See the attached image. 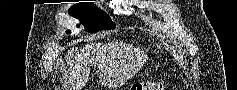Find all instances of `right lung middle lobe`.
Here are the masks:
<instances>
[{
    "instance_id": "1",
    "label": "right lung middle lobe",
    "mask_w": 237,
    "mask_h": 90,
    "mask_svg": "<svg viewBox=\"0 0 237 90\" xmlns=\"http://www.w3.org/2000/svg\"><path fill=\"white\" fill-rule=\"evenodd\" d=\"M69 15L80 20L88 32L94 33L116 27L110 17L92 3H78L68 10ZM67 33H70L67 30Z\"/></svg>"
}]
</instances>
